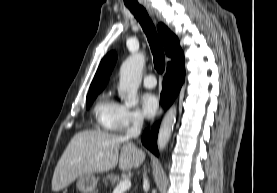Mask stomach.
<instances>
[{"label":"stomach","instance_id":"stomach-1","mask_svg":"<svg viewBox=\"0 0 277 193\" xmlns=\"http://www.w3.org/2000/svg\"><path fill=\"white\" fill-rule=\"evenodd\" d=\"M98 178L93 174H85L78 177L76 186L81 193H93L96 189Z\"/></svg>","mask_w":277,"mask_h":193}]
</instances>
